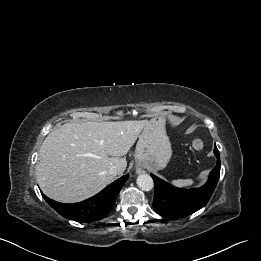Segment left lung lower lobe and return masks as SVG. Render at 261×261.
<instances>
[{"instance_id":"obj_1","label":"left lung lower lobe","mask_w":261,"mask_h":261,"mask_svg":"<svg viewBox=\"0 0 261 261\" xmlns=\"http://www.w3.org/2000/svg\"><path fill=\"white\" fill-rule=\"evenodd\" d=\"M214 154L217 157V165L210 172L207 183L200 188H176L151 174L155 186L153 208L159 215L165 218H181L198 211L207 204L220 175V156L216 146Z\"/></svg>"}]
</instances>
